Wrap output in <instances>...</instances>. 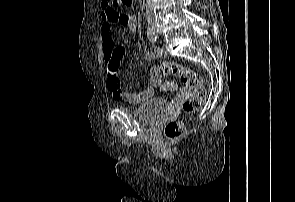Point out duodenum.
<instances>
[{"label": "duodenum", "mask_w": 295, "mask_h": 202, "mask_svg": "<svg viewBox=\"0 0 295 202\" xmlns=\"http://www.w3.org/2000/svg\"><path fill=\"white\" fill-rule=\"evenodd\" d=\"M140 8H145L148 0H137Z\"/></svg>", "instance_id": "410a0bca"}]
</instances>
